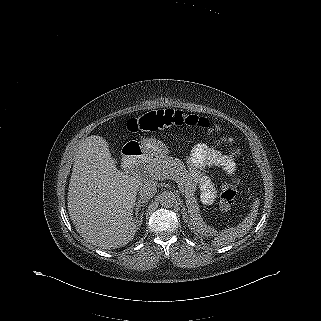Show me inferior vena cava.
<instances>
[{
  "mask_svg": "<svg viewBox=\"0 0 321 321\" xmlns=\"http://www.w3.org/2000/svg\"><path fill=\"white\" fill-rule=\"evenodd\" d=\"M138 191L143 199H150L156 194L157 187L155 183L146 181L140 184Z\"/></svg>",
  "mask_w": 321,
  "mask_h": 321,
  "instance_id": "inferior-vena-cava-1",
  "label": "inferior vena cava"
}]
</instances>
